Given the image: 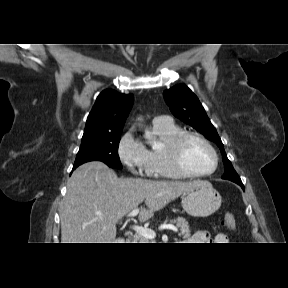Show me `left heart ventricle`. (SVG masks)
I'll use <instances>...</instances> for the list:
<instances>
[{"instance_id": "b2bd125f", "label": "left heart ventricle", "mask_w": 288, "mask_h": 288, "mask_svg": "<svg viewBox=\"0 0 288 288\" xmlns=\"http://www.w3.org/2000/svg\"><path fill=\"white\" fill-rule=\"evenodd\" d=\"M183 162L194 173H206L214 167L211 151L200 141L189 139L183 148Z\"/></svg>"}]
</instances>
